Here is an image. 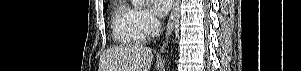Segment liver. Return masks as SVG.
Returning a JSON list of instances; mask_svg holds the SVG:
<instances>
[{
    "label": "liver",
    "instance_id": "obj_1",
    "mask_svg": "<svg viewBox=\"0 0 301 71\" xmlns=\"http://www.w3.org/2000/svg\"><path fill=\"white\" fill-rule=\"evenodd\" d=\"M152 57V50L143 45L120 46L104 53L102 69L103 71H149Z\"/></svg>",
    "mask_w": 301,
    "mask_h": 71
}]
</instances>
